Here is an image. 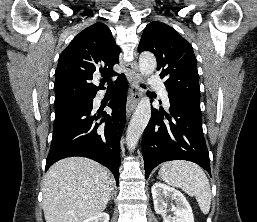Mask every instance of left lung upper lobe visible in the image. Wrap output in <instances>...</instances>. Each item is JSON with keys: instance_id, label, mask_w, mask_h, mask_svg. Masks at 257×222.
<instances>
[{"instance_id": "obj_1", "label": "left lung upper lobe", "mask_w": 257, "mask_h": 222, "mask_svg": "<svg viewBox=\"0 0 257 222\" xmlns=\"http://www.w3.org/2000/svg\"><path fill=\"white\" fill-rule=\"evenodd\" d=\"M150 51L169 93L200 102L197 61L192 46L172 27L158 21L146 26L138 51Z\"/></svg>"}]
</instances>
